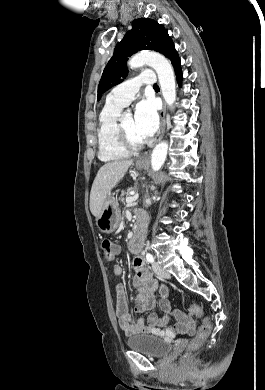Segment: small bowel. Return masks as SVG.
<instances>
[{"label": "small bowel", "mask_w": 265, "mask_h": 390, "mask_svg": "<svg viewBox=\"0 0 265 390\" xmlns=\"http://www.w3.org/2000/svg\"><path fill=\"white\" fill-rule=\"evenodd\" d=\"M139 216L142 215L139 214ZM114 249L115 254H118L121 250L118 245H115ZM133 268L135 271L133 286L137 290V304L135 306V312L137 314H144L151 311L156 305L155 294L158 291L161 297L159 301L161 314L151 313L147 322H145L142 318L133 319L128 310L124 284L119 282L116 285L115 312L120 329L126 335H164L167 332L176 334H192L196 327L195 320L183 311L171 308V303L168 299L169 290L167 286L158 284L157 280L146 268L142 256L136 255L134 257ZM111 272L115 276H120L123 269L119 264H115L112 266ZM172 318L176 320V324L169 327V323Z\"/></svg>", "instance_id": "1"}]
</instances>
